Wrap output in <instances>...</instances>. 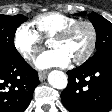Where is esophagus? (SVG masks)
I'll return each instance as SVG.
<instances>
[{"label": "esophagus", "mask_w": 112, "mask_h": 112, "mask_svg": "<svg viewBox=\"0 0 112 112\" xmlns=\"http://www.w3.org/2000/svg\"><path fill=\"white\" fill-rule=\"evenodd\" d=\"M38 76H39L40 81H44L47 77V72L46 71H41V72H39Z\"/></svg>", "instance_id": "obj_1"}]
</instances>
